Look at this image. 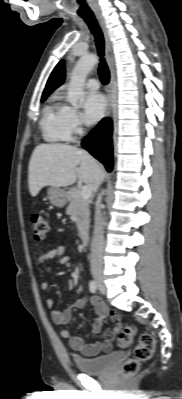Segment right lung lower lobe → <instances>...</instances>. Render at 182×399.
<instances>
[{"label": "right lung lower lobe", "mask_w": 182, "mask_h": 399, "mask_svg": "<svg viewBox=\"0 0 182 399\" xmlns=\"http://www.w3.org/2000/svg\"><path fill=\"white\" fill-rule=\"evenodd\" d=\"M112 122L104 118L85 138L83 146L100 162L108 172L112 170Z\"/></svg>", "instance_id": "1"}]
</instances>
